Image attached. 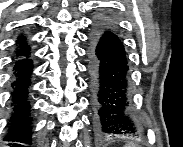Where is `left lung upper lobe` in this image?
<instances>
[{
  "label": "left lung upper lobe",
  "mask_w": 183,
  "mask_h": 147,
  "mask_svg": "<svg viewBox=\"0 0 183 147\" xmlns=\"http://www.w3.org/2000/svg\"><path fill=\"white\" fill-rule=\"evenodd\" d=\"M99 25L102 26V27H104V28L111 29V30H113V28H114L112 22L109 21V20L101 21Z\"/></svg>",
  "instance_id": "1"
}]
</instances>
